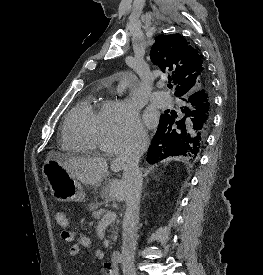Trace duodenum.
<instances>
[{
	"instance_id": "410a0bca",
	"label": "duodenum",
	"mask_w": 263,
	"mask_h": 275,
	"mask_svg": "<svg viewBox=\"0 0 263 275\" xmlns=\"http://www.w3.org/2000/svg\"><path fill=\"white\" fill-rule=\"evenodd\" d=\"M122 261V254L119 251H114L109 260L104 262V267L106 270L110 272H115L117 270V266Z\"/></svg>"
}]
</instances>
